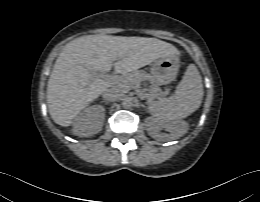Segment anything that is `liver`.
I'll return each instance as SVG.
<instances>
[{
    "label": "liver",
    "mask_w": 260,
    "mask_h": 202,
    "mask_svg": "<svg viewBox=\"0 0 260 202\" xmlns=\"http://www.w3.org/2000/svg\"><path fill=\"white\" fill-rule=\"evenodd\" d=\"M176 51L172 44L156 38L87 35L72 40L59 54L48 81L51 118L58 125L70 126L82 109L116 84L93 77V71L114 66L117 74H127Z\"/></svg>",
    "instance_id": "liver-1"
}]
</instances>
